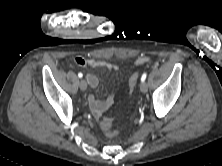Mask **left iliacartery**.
Returning a JSON list of instances; mask_svg holds the SVG:
<instances>
[{"mask_svg":"<svg viewBox=\"0 0 222 166\" xmlns=\"http://www.w3.org/2000/svg\"><path fill=\"white\" fill-rule=\"evenodd\" d=\"M146 77H147V73H143L141 77V81L144 82L146 80Z\"/></svg>","mask_w":222,"mask_h":166,"instance_id":"obj_1","label":"left iliac artery"}]
</instances>
